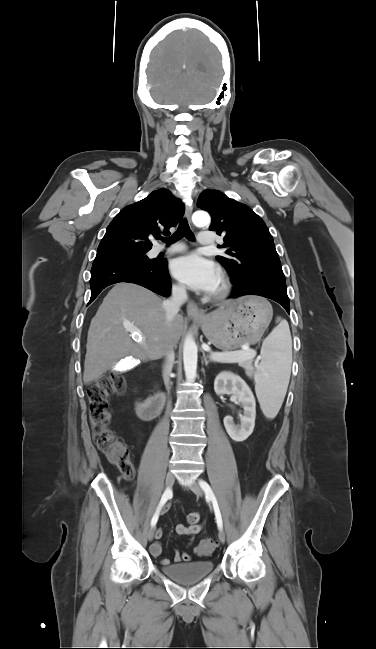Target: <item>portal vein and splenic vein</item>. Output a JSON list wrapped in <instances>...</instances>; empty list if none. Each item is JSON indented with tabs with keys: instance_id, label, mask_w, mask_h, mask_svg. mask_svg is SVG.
I'll return each instance as SVG.
<instances>
[{
	"instance_id": "portal-vein-and-splenic-vein-1",
	"label": "portal vein and splenic vein",
	"mask_w": 376,
	"mask_h": 649,
	"mask_svg": "<svg viewBox=\"0 0 376 649\" xmlns=\"http://www.w3.org/2000/svg\"><path fill=\"white\" fill-rule=\"evenodd\" d=\"M126 328L131 332L133 339L137 342H141V335L135 330V327L132 324L126 325ZM245 350V348H243ZM255 357V352H247L244 354L237 352H226V353H217L211 354V359L219 363H236L242 362L248 359Z\"/></svg>"
}]
</instances>
